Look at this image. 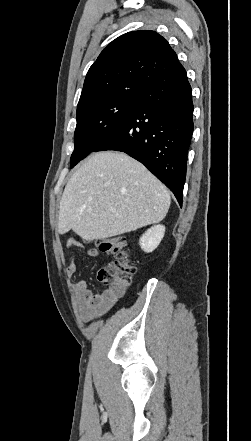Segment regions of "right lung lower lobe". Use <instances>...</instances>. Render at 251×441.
<instances>
[{
	"label": "right lung lower lobe",
	"mask_w": 251,
	"mask_h": 441,
	"mask_svg": "<svg viewBox=\"0 0 251 441\" xmlns=\"http://www.w3.org/2000/svg\"><path fill=\"white\" fill-rule=\"evenodd\" d=\"M192 89L185 69L155 83L93 152H125L144 164L182 206L193 133Z\"/></svg>",
	"instance_id": "right-lung-lower-lobe-1"
}]
</instances>
